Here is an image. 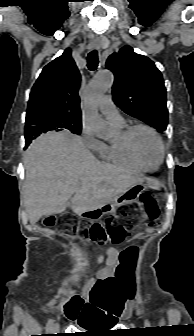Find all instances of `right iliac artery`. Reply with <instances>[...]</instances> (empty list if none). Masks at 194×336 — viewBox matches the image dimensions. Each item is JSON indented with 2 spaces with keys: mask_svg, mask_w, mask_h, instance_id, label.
<instances>
[{
  "mask_svg": "<svg viewBox=\"0 0 194 336\" xmlns=\"http://www.w3.org/2000/svg\"><path fill=\"white\" fill-rule=\"evenodd\" d=\"M53 319H50L46 325V332H50L52 330V326H53Z\"/></svg>",
  "mask_w": 194,
  "mask_h": 336,
  "instance_id": "1",
  "label": "right iliac artery"
}]
</instances>
